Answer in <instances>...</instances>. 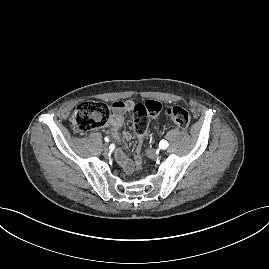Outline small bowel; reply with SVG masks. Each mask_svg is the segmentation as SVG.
I'll return each instance as SVG.
<instances>
[{
	"label": "small bowel",
	"instance_id": "small-bowel-1",
	"mask_svg": "<svg viewBox=\"0 0 269 269\" xmlns=\"http://www.w3.org/2000/svg\"><path fill=\"white\" fill-rule=\"evenodd\" d=\"M135 103L133 101H116L112 105L113 114L108 123V131L115 140L120 138L119 131L124 125V115L126 112L133 111ZM122 137L126 141H130L132 135L128 131L122 133ZM117 162L122 166L127 174H132L134 171V164L129 158L124 149L118 148L115 152Z\"/></svg>",
	"mask_w": 269,
	"mask_h": 269
}]
</instances>
